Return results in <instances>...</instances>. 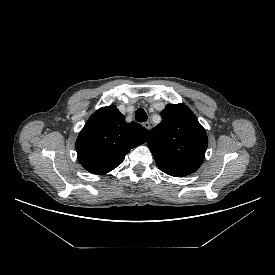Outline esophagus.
I'll list each match as a JSON object with an SVG mask.
<instances>
[{"mask_svg": "<svg viewBox=\"0 0 275 275\" xmlns=\"http://www.w3.org/2000/svg\"><path fill=\"white\" fill-rule=\"evenodd\" d=\"M143 127H145L148 130L151 129V125H150V123L148 121L143 123Z\"/></svg>", "mask_w": 275, "mask_h": 275, "instance_id": "34e87169", "label": "esophagus"}]
</instances>
